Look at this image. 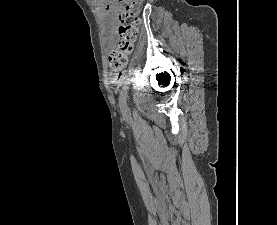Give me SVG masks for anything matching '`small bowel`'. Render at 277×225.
<instances>
[{
  "mask_svg": "<svg viewBox=\"0 0 277 225\" xmlns=\"http://www.w3.org/2000/svg\"><path fill=\"white\" fill-rule=\"evenodd\" d=\"M121 5H114V6H109V9L107 13L104 14V17L108 18L109 20H113L117 15L118 11L121 9Z\"/></svg>",
  "mask_w": 277,
  "mask_h": 225,
  "instance_id": "c3829d8e",
  "label": "small bowel"
}]
</instances>
